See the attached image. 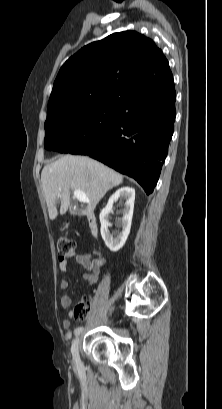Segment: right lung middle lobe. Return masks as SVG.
I'll return each instance as SVG.
<instances>
[{
  "mask_svg": "<svg viewBox=\"0 0 222 409\" xmlns=\"http://www.w3.org/2000/svg\"><path fill=\"white\" fill-rule=\"evenodd\" d=\"M118 105L115 102L73 104L47 113L45 148L81 155L99 149Z\"/></svg>",
  "mask_w": 222,
  "mask_h": 409,
  "instance_id": "obj_1",
  "label": "right lung middle lobe"
}]
</instances>
